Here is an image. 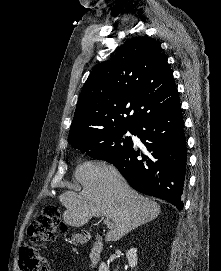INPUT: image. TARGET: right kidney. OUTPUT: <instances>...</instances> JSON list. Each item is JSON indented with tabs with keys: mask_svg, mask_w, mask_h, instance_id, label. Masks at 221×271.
Segmentation results:
<instances>
[{
	"mask_svg": "<svg viewBox=\"0 0 221 271\" xmlns=\"http://www.w3.org/2000/svg\"><path fill=\"white\" fill-rule=\"evenodd\" d=\"M126 257L128 259V263L131 267V269H133V267H136L137 265V247H130V249H128V251H126ZM98 271H110L107 263H105V261H102V263H100L99 267H98Z\"/></svg>",
	"mask_w": 221,
	"mask_h": 271,
	"instance_id": "ca27d5eb",
	"label": "right kidney"
}]
</instances>
